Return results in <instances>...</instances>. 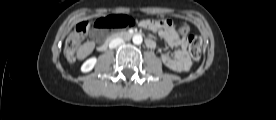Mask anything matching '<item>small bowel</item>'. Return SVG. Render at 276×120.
I'll return each mask as SVG.
<instances>
[{
    "mask_svg": "<svg viewBox=\"0 0 276 120\" xmlns=\"http://www.w3.org/2000/svg\"><path fill=\"white\" fill-rule=\"evenodd\" d=\"M141 26L147 30L157 32L170 47L176 48L172 54L162 53L161 55V59L167 67L178 72L187 71L190 68L191 60L186 51L187 41L178 37L172 25L164 26L161 24V20L145 19L142 20ZM91 37L97 40L98 31H92ZM148 40L150 42L147 46L152 49L155 48V41Z\"/></svg>",
    "mask_w": 276,
    "mask_h": 120,
    "instance_id": "c3829d8e",
    "label": "small bowel"
}]
</instances>
